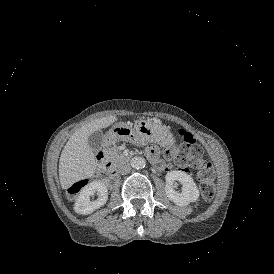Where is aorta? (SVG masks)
Wrapping results in <instances>:
<instances>
[{
    "label": "aorta",
    "mask_w": 274,
    "mask_h": 274,
    "mask_svg": "<svg viewBox=\"0 0 274 274\" xmlns=\"http://www.w3.org/2000/svg\"><path fill=\"white\" fill-rule=\"evenodd\" d=\"M146 165V161L143 157H133L131 160V166L135 169H142Z\"/></svg>",
    "instance_id": "762f6f07"
}]
</instances>
